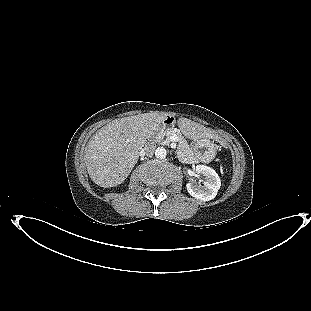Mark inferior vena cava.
Returning a JSON list of instances; mask_svg holds the SVG:
<instances>
[{
	"instance_id": "1",
	"label": "inferior vena cava",
	"mask_w": 311,
	"mask_h": 311,
	"mask_svg": "<svg viewBox=\"0 0 311 311\" xmlns=\"http://www.w3.org/2000/svg\"><path fill=\"white\" fill-rule=\"evenodd\" d=\"M155 150V145L153 143H148L145 145V147L142 149L143 154L147 156H151Z\"/></svg>"
}]
</instances>
